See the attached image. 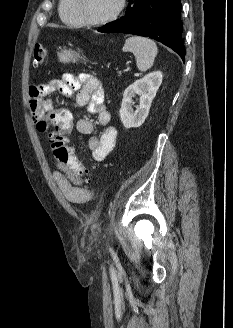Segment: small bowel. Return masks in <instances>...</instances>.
<instances>
[{
	"mask_svg": "<svg viewBox=\"0 0 233 328\" xmlns=\"http://www.w3.org/2000/svg\"><path fill=\"white\" fill-rule=\"evenodd\" d=\"M55 90L63 95H75V102L78 107H85L91 114H96L98 123L102 128V133L96 135L94 126L88 119L77 121V130L89 136L88 148L94 160L102 161L113 150L117 129L111 124V113L104 103V89L101 81L90 74H80L75 77L71 74H64L58 79L38 85H32L29 89L30 111L35 120H40L46 114L54 110L51 101L45 100V96ZM57 171L54 172V179L57 182L64 197L75 203H85L92 197V192L79 183L73 174L64 165L56 161Z\"/></svg>",
	"mask_w": 233,
	"mask_h": 328,
	"instance_id": "c3829d8e",
	"label": "small bowel"
}]
</instances>
